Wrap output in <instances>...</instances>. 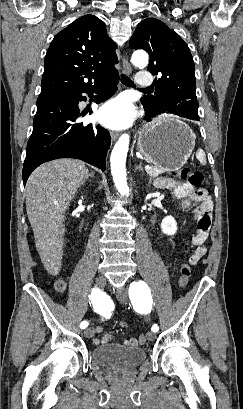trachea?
Returning a JSON list of instances; mask_svg holds the SVG:
<instances>
[{"label":"trachea","instance_id":"trachea-1","mask_svg":"<svg viewBox=\"0 0 243 409\" xmlns=\"http://www.w3.org/2000/svg\"><path fill=\"white\" fill-rule=\"evenodd\" d=\"M121 82L126 86L135 87L133 81L129 77H127L126 75L121 76Z\"/></svg>","mask_w":243,"mask_h":409}]
</instances>
